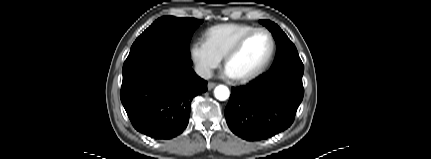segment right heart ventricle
Wrapping results in <instances>:
<instances>
[{"label": "right heart ventricle", "mask_w": 431, "mask_h": 159, "mask_svg": "<svg viewBox=\"0 0 431 159\" xmlns=\"http://www.w3.org/2000/svg\"><path fill=\"white\" fill-rule=\"evenodd\" d=\"M254 29V26L247 24L225 23L210 27L205 37L212 49L223 58L244 34Z\"/></svg>", "instance_id": "right-heart-ventricle-1"}]
</instances>
